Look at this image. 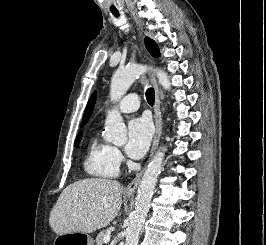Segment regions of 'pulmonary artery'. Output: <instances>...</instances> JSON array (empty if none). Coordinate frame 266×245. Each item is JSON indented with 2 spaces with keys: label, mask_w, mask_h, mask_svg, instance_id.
Here are the masks:
<instances>
[{
  "label": "pulmonary artery",
  "mask_w": 266,
  "mask_h": 245,
  "mask_svg": "<svg viewBox=\"0 0 266 245\" xmlns=\"http://www.w3.org/2000/svg\"><path fill=\"white\" fill-rule=\"evenodd\" d=\"M141 105L140 96H136L135 94H131L129 96H125L124 100L118 101L117 108L121 112L130 113L134 112Z\"/></svg>",
  "instance_id": "pulmonary-artery-1"
}]
</instances>
